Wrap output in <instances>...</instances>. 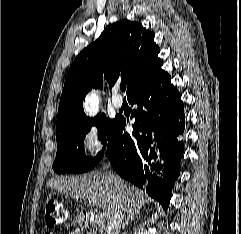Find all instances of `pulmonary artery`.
<instances>
[{
	"label": "pulmonary artery",
	"mask_w": 241,
	"mask_h": 234,
	"mask_svg": "<svg viewBox=\"0 0 241 234\" xmlns=\"http://www.w3.org/2000/svg\"><path fill=\"white\" fill-rule=\"evenodd\" d=\"M112 105L119 109L123 105V99L122 97L117 93V90L115 91V94L112 97Z\"/></svg>",
	"instance_id": "1"
}]
</instances>
